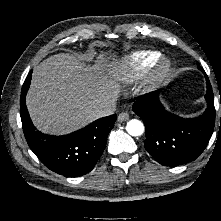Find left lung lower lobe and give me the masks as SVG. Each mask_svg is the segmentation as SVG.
Segmentation results:
<instances>
[{"instance_id":"obj_1","label":"left lung lower lobe","mask_w":221,"mask_h":221,"mask_svg":"<svg viewBox=\"0 0 221 221\" xmlns=\"http://www.w3.org/2000/svg\"><path fill=\"white\" fill-rule=\"evenodd\" d=\"M208 108L200 117L183 119L167 112L158 93L140 96L133 105L146 130L145 149L164 166H175L195 160L207 146L215 124L212 87L205 71Z\"/></svg>"}]
</instances>
